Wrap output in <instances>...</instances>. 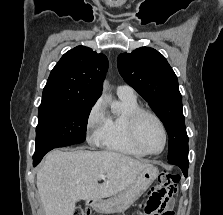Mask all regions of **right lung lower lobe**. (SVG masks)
Masks as SVG:
<instances>
[{"instance_id":"98d812e1","label":"right lung lower lobe","mask_w":223,"mask_h":215,"mask_svg":"<svg viewBox=\"0 0 223 215\" xmlns=\"http://www.w3.org/2000/svg\"><path fill=\"white\" fill-rule=\"evenodd\" d=\"M50 150H52V149L46 150V151L41 152V153H35L34 156H33V166H36L41 161V159L43 158V156L47 152H49Z\"/></svg>"}]
</instances>
